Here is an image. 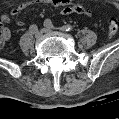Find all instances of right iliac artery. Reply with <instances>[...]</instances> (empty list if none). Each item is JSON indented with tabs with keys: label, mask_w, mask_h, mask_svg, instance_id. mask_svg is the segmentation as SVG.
I'll use <instances>...</instances> for the list:
<instances>
[{
	"label": "right iliac artery",
	"mask_w": 119,
	"mask_h": 119,
	"mask_svg": "<svg viewBox=\"0 0 119 119\" xmlns=\"http://www.w3.org/2000/svg\"><path fill=\"white\" fill-rule=\"evenodd\" d=\"M38 30V27H37V25H35V24H32L30 27H29V31L31 32V33H35L36 31Z\"/></svg>",
	"instance_id": "82829eb1"
}]
</instances>
